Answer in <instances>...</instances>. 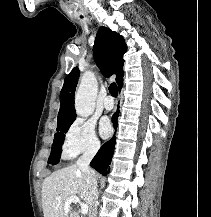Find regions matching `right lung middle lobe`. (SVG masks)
Segmentation results:
<instances>
[{"label": "right lung middle lobe", "mask_w": 211, "mask_h": 217, "mask_svg": "<svg viewBox=\"0 0 211 217\" xmlns=\"http://www.w3.org/2000/svg\"><path fill=\"white\" fill-rule=\"evenodd\" d=\"M72 123L73 122L67 123V124L62 125L60 128L57 129V133L54 136V142L52 145L51 154H50V157L48 159L49 164L55 165L59 162L60 155H61V147H62L63 140L65 138L64 133H66L68 131V129Z\"/></svg>", "instance_id": "right-lung-middle-lobe-1"}]
</instances>
